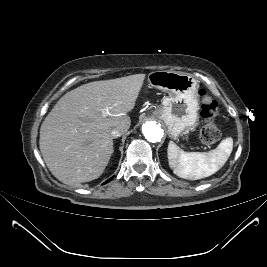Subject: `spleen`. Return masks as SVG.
<instances>
[{"mask_svg":"<svg viewBox=\"0 0 267 267\" xmlns=\"http://www.w3.org/2000/svg\"><path fill=\"white\" fill-rule=\"evenodd\" d=\"M233 149V139L228 137L214 150L208 152H185L173 141L168 144L167 155L170 168L180 178L197 180L211 176L228 160Z\"/></svg>","mask_w":267,"mask_h":267,"instance_id":"1","label":"spleen"}]
</instances>
